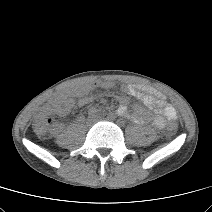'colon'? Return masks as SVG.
<instances>
[{"mask_svg": "<svg viewBox=\"0 0 212 212\" xmlns=\"http://www.w3.org/2000/svg\"><path fill=\"white\" fill-rule=\"evenodd\" d=\"M55 118L53 115H48L37 119L33 124L34 131L39 135H45L49 131L50 125L55 121ZM177 128L178 125L174 121L169 122L167 125V130L170 133H174Z\"/></svg>", "mask_w": 212, "mask_h": 212, "instance_id": "obj_1", "label": "colon"}]
</instances>
